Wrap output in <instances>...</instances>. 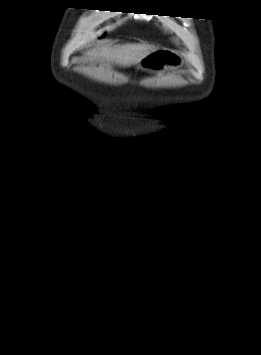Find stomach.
Segmentation results:
<instances>
[{
  "label": "stomach",
  "mask_w": 261,
  "mask_h": 355,
  "mask_svg": "<svg viewBox=\"0 0 261 355\" xmlns=\"http://www.w3.org/2000/svg\"><path fill=\"white\" fill-rule=\"evenodd\" d=\"M137 65L140 68L158 71L179 68L183 65V60L173 50L157 48L137 62Z\"/></svg>",
  "instance_id": "obj_1"
}]
</instances>
